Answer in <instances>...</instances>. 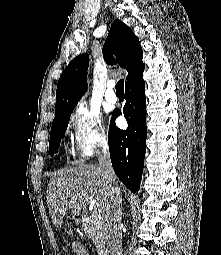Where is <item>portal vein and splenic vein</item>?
<instances>
[{"mask_svg":"<svg viewBox=\"0 0 221 255\" xmlns=\"http://www.w3.org/2000/svg\"><path fill=\"white\" fill-rule=\"evenodd\" d=\"M94 212H96V213H100L101 212V207H100V205L98 203H96L95 206H94Z\"/></svg>","mask_w":221,"mask_h":255,"instance_id":"1","label":"portal vein and splenic vein"}]
</instances>
